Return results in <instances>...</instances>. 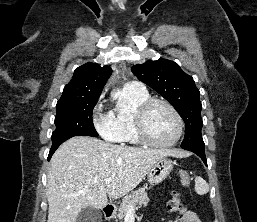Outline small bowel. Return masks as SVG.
I'll return each instance as SVG.
<instances>
[{"label":"small bowel","mask_w":257,"mask_h":222,"mask_svg":"<svg viewBox=\"0 0 257 222\" xmlns=\"http://www.w3.org/2000/svg\"><path fill=\"white\" fill-rule=\"evenodd\" d=\"M179 215L180 222H201L194 212L186 209L185 207H182L179 210Z\"/></svg>","instance_id":"1"}]
</instances>
